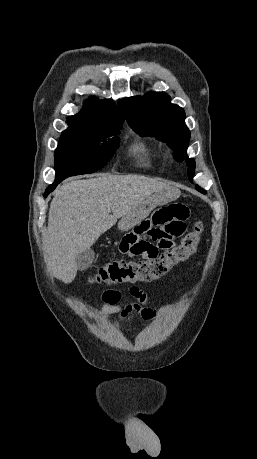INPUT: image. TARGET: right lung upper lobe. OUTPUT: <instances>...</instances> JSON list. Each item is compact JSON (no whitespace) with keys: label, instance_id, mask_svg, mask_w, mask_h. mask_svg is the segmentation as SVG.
<instances>
[{"label":"right lung upper lobe","instance_id":"cb5924a9","mask_svg":"<svg viewBox=\"0 0 257 459\" xmlns=\"http://www.w3.org/2000/svg\"><path fill=\"white\" fill-rule=\"evenodd\" d=\"M68 120L70 124L104 131L121 129L124 116L120 104L117 107L109 100L92 99L86 101L83 109L78 114L68 117Z\"/></svg>","mask_w":257,"mask_h":459}]
</instances>
